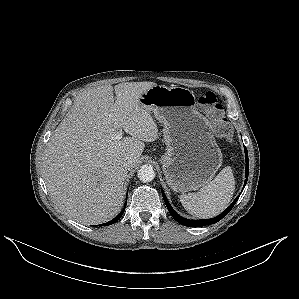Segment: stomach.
Returning a JSON list of instances; mask_svg holds the SVG:
<instances>
[{"label":"stomach","mask_w":299,"mask_h":299,"mask_svg":"<svg viewBox=\"0 0 299 299\" xmlns=\"http://www.w3.org/2000/svg\"><path fill=\"white\" fill-rule=\"evenodd\" d=\"M139 100L163 124L166 152L160 161L169 187L185 193L208 184L223 156L211 123L197 110L193 91L155 85Z\"/></svg>","instance_id":"stomach-1"}]
</instances>
